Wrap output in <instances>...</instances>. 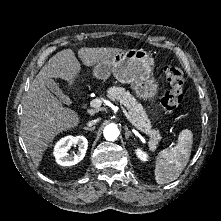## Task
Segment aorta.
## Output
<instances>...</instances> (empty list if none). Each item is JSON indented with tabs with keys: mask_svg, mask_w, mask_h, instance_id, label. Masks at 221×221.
I'll return each mask as SVG.
<instances>
[{
	"mask_svg": "<svg viewBox=\"0 0 221 221\" xmlns=\"http://www.w3.org/2000/svg\"><path fill=\"white\" fill-rule=\"evenodd\" d=\"M104 137L108 141H114L118 138L120 132L116 125L109 124L104 128Z\"/></svg>",
	"mask_w": 221,
	"mask_h": 221,
	"instance_id": "762f6f07",
	"label": "aorta"
}]
</instances>
